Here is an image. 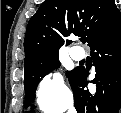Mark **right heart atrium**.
<instances>
[{
  "mask_svg": "<svg viewBox=\"0 0 121 113\" xmlns=\"http://www.w3.org/2000/svg\"><path fill=\"white\" fill-rule=\"evenodd\" d=\"M71 98L70 90L57 72L45 76L37 89V102L45 110H65L69 107Z\"/></svg>",
  "mask_w": 121,
  "mask_h": 113,
  "instance_id": "obj_1",
  "label": "right heart atrium"
}]
</instances>
